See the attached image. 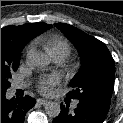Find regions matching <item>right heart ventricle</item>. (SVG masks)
Segmentation results:
<instances>
[{
	"mask_svg": "<svg viewBox=\"0 0 123 123\" xmlns=\"http://www.w3.org/2000/svg\"><path fill=\"white\" fill-rule=\"evenodd\" d=\"M46 48L52 56L62 54L67 57L71 52L69 42L60 36H51L46 39Z\"/></svg>",
	"mask_w": 123,
	"mask_h": 123,
	"instance_id": "e07e8e85",
	"label": "right heart ventricle"
}]
</instances>
